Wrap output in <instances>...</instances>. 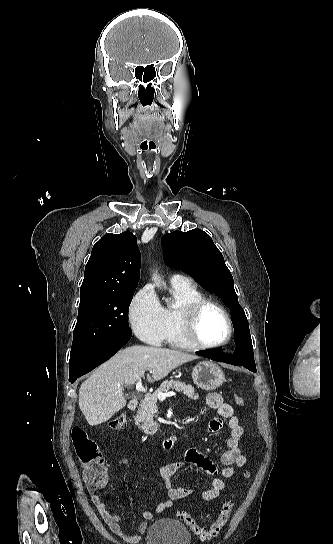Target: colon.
Listing matches in <instances>:
<instances>
[{
    "label": "colon",
    "instance_id": "obj_1",
    "mask_svg": "<svg viewBox=\"0 0 333 544\" xmlns=\"http://www.w3.org/2000/svg\"><path fill=\"white\" fill-rule=\"evenodd\" d=\"M234 401L239 406L245 405V400L240 395H234ZM127 420L124 414L117 415L109 422L113 430H121L126 427ZM72 441L76 455L83 467V478L89 490L99 489L107 480L108 473L103 462L101 451L87 431L81 427L72 430ZM233 508V501L227 499L216 519L208 526L202 527L189 513L181 511L177 516L191 528L194 534L201 540H209L216 537L227 521Z\"/></svg>",
    "mask_w": 333,
    "mask_h": 544
}]
</instances>
